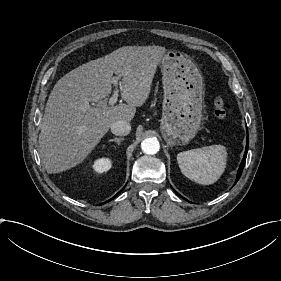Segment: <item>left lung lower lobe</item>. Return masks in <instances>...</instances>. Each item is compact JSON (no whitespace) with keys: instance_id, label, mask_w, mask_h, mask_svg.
<instances>
[{"instance_id":"obj_1","label":"left lung lower lobe","mask_w":281,"mask_h":281,"mask_svg":"<svg viewBox=\"0 0 281 281\" xmlns=\"http://www.w3.org/2000/svg\"><path fill=\"white\" fill-rule=\"evenodd\" d=\"M248 145H249V136L247 135V143H246V150H245V153H244V157H243V160L240 164V167H239V170H238V173H237V178H236V181L235 183L239 180L241 174H242V171H243V168H244V165H245V162H246V156H247V151H248ZM179 195V194H178ZM180 197H182L181 195H179Z\"/></svg>"}]
</instances>
